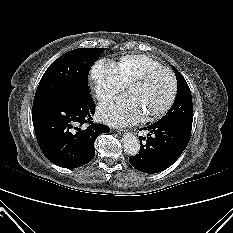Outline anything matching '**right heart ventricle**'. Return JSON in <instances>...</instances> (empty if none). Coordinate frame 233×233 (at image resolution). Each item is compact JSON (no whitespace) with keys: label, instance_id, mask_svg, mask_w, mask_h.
Wrapping results in <instances>:
<instances>
[{"label":"right heart ventricle","instance_id":"1","mask_svg":"<svg viewBox=\"0 0 233 233\" xmlns=\"http://www.w3.org/2000/svg\"><path fill=\"white\" fill-rule=\"evenodd\" d=\"M158 66L161 64L147 55H128L118 61L117 70L122 81L128 84L146 69Z\"/></svg>","mask_w":233,"mask_h":233}]
</instances>
